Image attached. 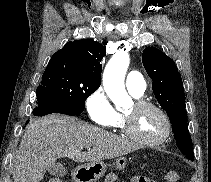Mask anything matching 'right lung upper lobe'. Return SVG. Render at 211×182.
Returning a JSON list of instances; mask_svg holds the SVG:
<instances>
[{"label": "right lung upper lobe", "mask_w": 211, "mask_h": 182, "mask_svg": "<svg viewBox=\"0 0 211 182\" xmlns=\"http://www.w3.org/2000/svg\"><path fill=\"white\" fill-rule=\"evenodd\" d=\"M105 47L91 39L69 41L53 54L47 68L58 67L90 82L101 83Z\"/></svg>", "instance_id": "obj_1"}]
</instances>
